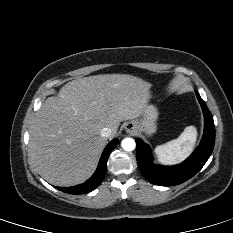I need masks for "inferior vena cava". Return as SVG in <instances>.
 Returning <instances> with one entry per match:
<instances>
[{
	"instance_id": "obj_1",
	"label": "inferior vena cava",
	"mask_w": 233,
	"mask_h": 233,
	"mask_svg": "<svg viewBox=\"0 0 233 233\" xmlns=\"http://www.w3.org/2000/svg\"><path fill=\"white\" fill-rule=\"evenodd\" d=\"M101 136L104 138H109L110 136H112V129H110L108 127H104L101 130Z\"/></svg>"
}]
</instances>
